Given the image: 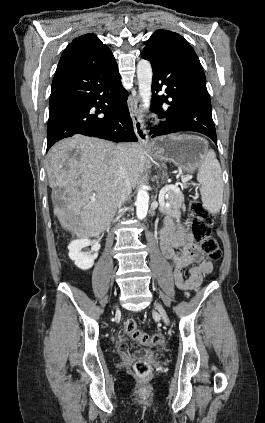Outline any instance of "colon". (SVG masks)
Returning <instances> with one entry per match:
<instances>
[{"label":"colon","instance_id":"5ec220e1","mask_svg":"<svg viewBox=\"0 0 265 423\" xmlns=\"http://www.w3.org/2000/svg\"><path fill=\"white\" fill-rule=\"evenodd\" d=\"M190 207L193 212L190 228L195 241L200 244L208 258L213 261L219 260L222 251L217 240L211 236V227L214 223L213 214L197 201H191ZM124 329L136 342L144 346H161L164 343V337L161 334H148L140 330L134 319L127 320ZM134 372L139 377H148L151 374V367L146 361L138 360L134 364Z\"/></svg>","mask_w":265,"mask_h":423}]
</instances>
